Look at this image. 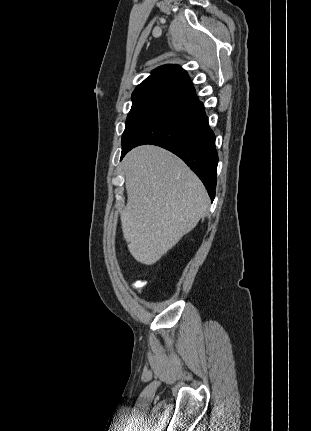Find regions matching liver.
<instances>
[{
	"label": "liver",
	"instance_id": "6515ba94",
	"mask_svg": "<svg viewBox=\"0 0 311 431\" xmlns=\"http://www.w3.org/2000/svg\"><path fill=\"white\" fill-rule=\"evenodd\" d=\"M123 168L128 196L120 214L123 237L131 255L151 265L197 225L208 194L180 158L157 146L134 148Z\"/></svg>",
	"mask_w": 311,
	"mask_h": 431
}]
</instances>
